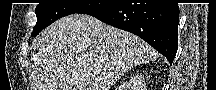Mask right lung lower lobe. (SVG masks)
Wrapping results in <instances>:
<instances>
[{"label":"right lung lower lobe","mask_w":216,"mask_h":90,"mask_svg":"<svg viewBox=\"0 0 216 90\" xmlns=\"http://www.w3.org/2000/svg\"><path fill=\"white\" fill-rule=\"evenodd\" d=\"M86 14L141 37L172 64L178 48L177 3L108 4Z\"/></svg>","instance_id":"obj_1"}]
</instances>
